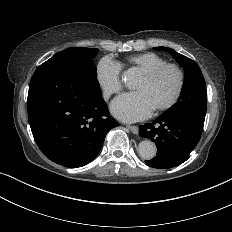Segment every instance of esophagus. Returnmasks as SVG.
<instances>
[{
	"instance_id": "esophagus-1",
	"label": "esophagus",
	"mask_w": 232,
	"mask_h": 232,
	"mask_svg": "<svg viewBox=\"0 0 232 232\" xmlns=\"http://www.w3.org/2000/svg\"><path fill=\"white\" fill-rule=\"evenodd\" d=\"M126 128H128L134 134H138L139 132V128L136 125H126Z\"/></svg>"
}]
</instances>
